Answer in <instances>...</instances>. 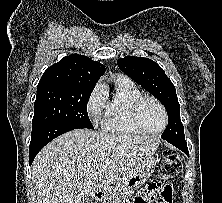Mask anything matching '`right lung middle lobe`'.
<instances>
[{
	"label": "right lung middle lobe",
	"instance_id": "dd1d6c3e",
	"mask_svg": "<svg viewBox=\"0 0 222 203\" xmlns=\"http://www.w3.org/2000/svg\"><path fill=\"white\" fill-rule=\"evenodd\" d=\"M93 89L50 87L37 91L32 129L54 123L94 129L87 113V102Z\"/></svg>",
	"mask_w": 222,
	"mask_h": 203
}]
</instances>
